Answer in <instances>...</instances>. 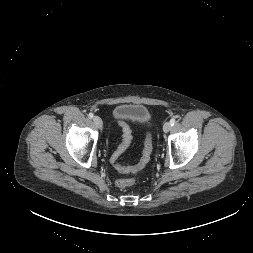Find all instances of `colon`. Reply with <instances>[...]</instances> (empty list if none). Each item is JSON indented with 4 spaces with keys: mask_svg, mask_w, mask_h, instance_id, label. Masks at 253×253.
<instances>
[{
    "mask_svg": "<svg viewBox=\"0 0 253 253\" xmlns=\"http://www.w3.org/2000/svg\"><path fill=\"white\" fill-rule=\"evenodd\" d=\"M121 127L123 129V140L122 143L119 145L118 149L114 152L112 155V162L117 170L123 173H135L139 169L143 168L150 160L151 153H152V141H151V135L150 133H147L145 141H144V149L142 152L141 159L139 163L134 167H126L122 166L118 163L119 157L122 155V153L126 150L128 147L130 140H131V129L130 127L122 123ZM136 181L135 177H127V178H120L116 180L117 187L121 189H125L127 187L132 186Z\"/></svg>",
    "mask_w": 253,
    "mask_h": 253,
    "instance_id": "colon-1",
    "label": "colon"
}]
</instances>
